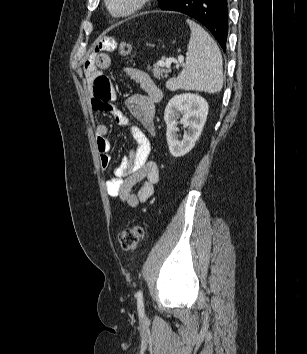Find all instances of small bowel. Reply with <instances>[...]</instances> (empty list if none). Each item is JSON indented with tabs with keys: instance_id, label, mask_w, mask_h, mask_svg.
<instances>
[{
	"instance_id": "obj_1",
	"label": "small bowel",
	"mask_w": 307,
	"mask_h": 354,
	"mask_svg": "<svg viewBox=\"0 0 307 354\" xmlns=\"http://www.w3.org/2000/svg\"><path fill=\"white\" fill-rule=\"evenodd\" d=\"M116 47L112 38H104L99 48L84 62L85 79L92 85V105L94 110L110 114L121 126H130L135 146L115 168L114 178L106 181V189L111 197H118L123 203L136 207L139 203L148 201L154 193V187L159 181V168L150 160V136L155 132V104L162 98L161 90L151 77L143 70L127 67V75L139 84L142 94H136L127 101L131 112L138 122L132 125L128 117L114 104L116 93L110 80L101 72L110 65V57L102 50ZM108 125L99 122L96 125V142L100 165L103 169L111 164V143L108 139ZM140 184L137 192L134 187Z\"/></svg>"
}]
</instances>
